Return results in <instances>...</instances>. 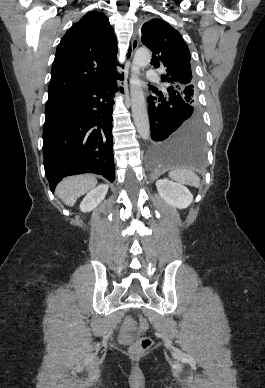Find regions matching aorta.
I'll use <instances>...</instances> for the list:
<instances>
[{"label": "aorta", "instance_id": "aorta-1", "mask_svg": "<svg viewBox=\"0 0 265 388\" xmlns=\"http://www.w3.org/2000/svg\"><path fill=\"white\" fill-rule=\"evenodd\" d=\"M151 61V53L144 48L136 51L131 67L130 96L131 108L135 126L139 135L147 140L150 136V126L142 82L140 80L141 68L147 66Z\"/></svg>", "mask_w": 265, "mask_h": 388}]
</instances>
